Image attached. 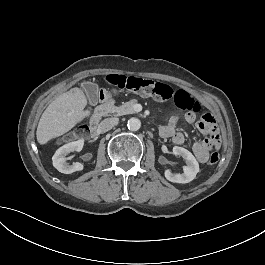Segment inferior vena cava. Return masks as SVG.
<instances>
[{
  "instance_id": "602c4592",
  "label": "inferior vena cava",
  "mask_w": 265,
  "mask_h": 265,
  "mask_svg": "<svg viewBox=\"0 0 265 265\" xmlns=\"http://www.w3.org/2000/svg\"><path fill=\"white\" fill-rule=\"evenodd\" d=\"M118 121H119L118 118H106L100 122L98 130L102 133L107 132L111 130L115 125H117Z\"/></svg>"
}]
</instances>
